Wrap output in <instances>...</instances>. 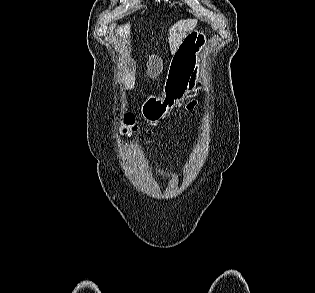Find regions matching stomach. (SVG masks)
<instances>
[{"instance_id": "stomach-1", "label": "stomach", "mask_w": 315, "mask_h": 293, "mask_svg": "<svg viewBox=\"0 0 315 293\" xmlns=\"http://www.w3.org/2000/svg\"><path fill=\"white\" fill-rule=\"evenodd\" d=\"M208 38L196 29L187 33L173 54L161 97H150L142 115L150 122L163 118L175 105L195 90L204 72Z\"/></svg>"}]
</instances>
